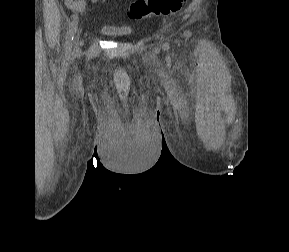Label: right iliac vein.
<instances>
[{
  "instance_id": "1",
  "label": "right iliac vein",
  "mask_w": 289,
  "mask_h": 252,
  "mask_svg": "<svg viewBox=\"0 0 289 252\" xmlns=\"http://www.w3.org/2000/svg\"><path fill=\"white\" fill-rule=\"evenodd\" d=\"M79 31L77 32L76 34V37H75V44H74V51L77 52L79 50Z\"/></svg>"
}]
</instances>
